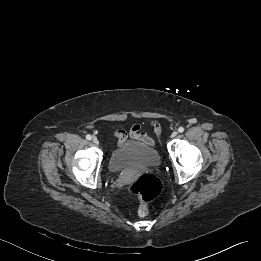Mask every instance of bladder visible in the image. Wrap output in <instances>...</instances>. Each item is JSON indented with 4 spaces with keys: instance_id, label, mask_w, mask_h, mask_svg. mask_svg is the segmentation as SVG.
I'll list each match as a JSON object with an SVG mask.
<instances>
[{
    "instance_id": "31cf9c89",
    "label": "bladder",
    "mask_w": 261,
    "mask_h": 261,
    "mask_svg": "<svg viewBox=\"0 0 261 261\" xmlns=\"http://www.w3.org/2000/svg\"><path fill=\"white\" fill-rule=\"evenodd\" d=\"M160 163L156 148L142 141H127L109 156L108 167L112 172L132 168H154Z\"/></svg>"
}]
</instances>
